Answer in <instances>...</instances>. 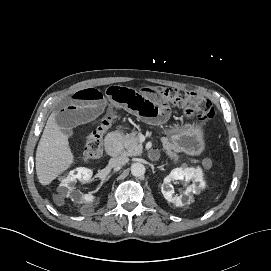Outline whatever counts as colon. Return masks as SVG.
I'll use <instances>...</instances> for the list:
<instances>
[{"label":"colon","mask_w":271,"mask_h":271,"mask_svg":"<svg viewBox=\"0 0 271 271\" xmlns=\"http://www.w3.org/2000/svg\"><path fill=\"white\" fill-rule=\"evenodd\" d=\"M159 96L166 102L177 107L185 108V113L190 118H197L202 122L210 121L214 117L212 103L196 93L175 88H158ZM113 113L107 114L100 124L88 135L83 151V160L91 162L97 160L102 154V139L105 131L109 128Z\"/></svg>","instance_id":"colon-1"}]
</instances>
